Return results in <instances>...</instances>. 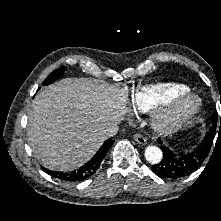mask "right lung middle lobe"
I'll list each match as a JSON object with an SVG mask.
<instances>
[{"label": "right lung middle lobe", "instance_id": "1", "mask_svg": "<svg viewBox=\"0 0 221 221\" xmlns=\"http://www.w3.org/2000/svg\"><path fill=\"white\" fill-rule=\"evenodd\" d=\"M66 70L65 67H62L58 70L53 71L43 82V85H48L50 83H53L56 78L61 77L63 75V72Z\"/></svg>", "mask_w": 221, "mask_h": 221}]
</instances>
